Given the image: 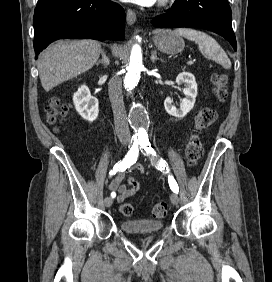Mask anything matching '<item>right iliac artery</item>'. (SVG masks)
Wrapping results in <instances>:
<instances>
[{"label":"right iliac artery","instance_id":"1","mask_svg":"<svg viewBox=\"0 0 272 282\" xmlns=\"http://www.w3.org/2000/svg\"><path fill=\"white\" fill-rule=\"evenodd\" d=\"M138 147H139L138 141L131 142V144L129 145L130 150L128 151L125 158L121 162H118L113 167V170H111L109 174L114 175L118 171H125L127 168H129L131 165H133L137 161V157H138V153H139ZM111 197L115 198L116 193L112 192Z\"/></svg>","mask_w":272,"mask_h":282}]
</instances>
